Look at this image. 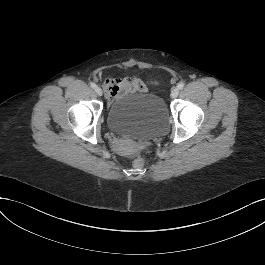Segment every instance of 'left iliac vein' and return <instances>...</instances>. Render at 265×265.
Returning <instances> with one entry per match:
<instances>
[{
	"label": "left iliac vein",
	"instance_id": "1",
	"mask_svg": "<svg viewBox=\"0 0 265 265\" xmlns=\"http://www.w3.org/2000/svg\"><path fill=\"white\" fill-rule=\"evenodd\" d=\"M179 94V89L178 88H173L172 91H171V98H176Z\"/></svg>",
	"mask_w": 265,
	"mask_h": 265
}]
</instances>
